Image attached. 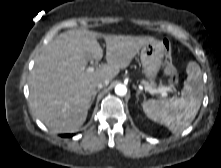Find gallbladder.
<instances>
[{
  "instance_id": "gallbladder-1",
  "label": "gallbladder",
  "mask_w": 221,
  "mask_h": 168,
  "mask_svg": "<svg viewBox=\"0 0 221 168\" xmlns=\"http://www.w3.org/2000/svg\"><path fill=\"white\" fill-rule=\"evenodd\" d=\"M90 55L89 54H86V57L88 58Z\"/></svg>"
}]
</instances>
